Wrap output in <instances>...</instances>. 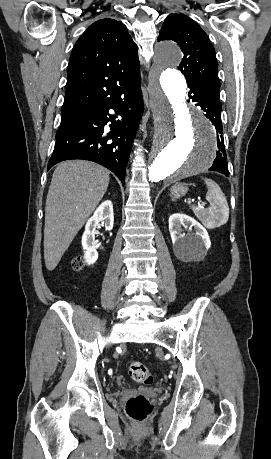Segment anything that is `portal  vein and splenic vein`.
<instances>
[{"mask_svg":"<svg viewBox=\"0 0 271 459\" xmlns=\"http://www.w3.org/2000/svg\"><path fill=\"white\" fill-rule=\"evenodd\" d=\"M201 206H205V204H201Z\"/></svg>","mask_w":271,"mask_h":459,"instance_id":"1","label":"portal vein and splenic vein"}]
</instances>
